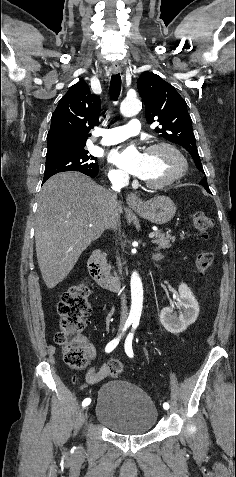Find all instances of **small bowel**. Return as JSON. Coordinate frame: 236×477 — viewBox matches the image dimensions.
Returning a JSON list of instances; mask_svg holds the SVG:
<instances>
[{
    "instance_id": "obj_1",
    "label": "small bowel",
    "mask_w": 236,
    "mask_h": 477,
    "mask_svg": "<svg viewBox=\"0 0 236 477\" xmlns=\"http://www.w3.org/2000/svg\"><path fill=\"white\" fill-rule=\"evenodd\" d=\"M85 350L87 355L91 361H95L97 358V351L94 345L89 342L87 339H83ZM108 375V366L107 364H103L99 369L93 365L89 368L86 374V380L90 384H95L102 381Z\"/></svg>"
}]
</instances>
